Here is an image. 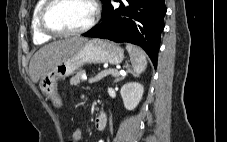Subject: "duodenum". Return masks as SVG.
Returning <instances> with one entry per match:
<instances>
[{
    "mask_svg": "<svg viewBox=\"0 0 227 142\" xmlns=\"http://www.w3.org/2000/svg\"><path fill=\"white\" fill-rule=\"evenodd\" d=\"M106 123H107V116L105 112H100L95 118L94 125L96 130L102 131L105 128Z\"/></svg>",
    "mask_w": 227,
    "mask_h": 142,
    "instance_id": "1",
    "label": "duodenum"
}]
</instances>
